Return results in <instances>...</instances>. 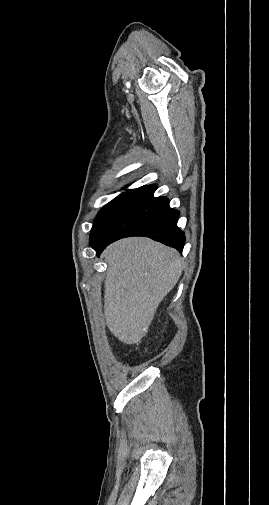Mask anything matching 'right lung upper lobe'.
Instances as JSON below:
<instances>
[{
    "mask_svg": "<svg viewBox=\"0 0 269 505\" xmlns=\"http://www.w3.org/2000/svg\"><path fill=\"white\" fill-rule=\"evenodd\" d=\"M144 187H146V186H142V187H140V188L133 189V190H138V191H140V190H141V189H143Z\"/></svg>",
    "mask_w": 269,
    "mask_h": 505,
    "instance_id": "1",
    "label": "right lung upper lobe"
}]
</instances>
